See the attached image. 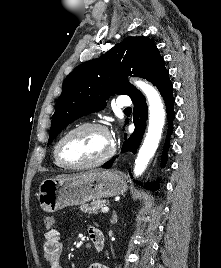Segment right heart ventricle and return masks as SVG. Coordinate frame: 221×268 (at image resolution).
Segmentation results:
<instances>
[{
	"instance_id": "obj_1",
	"label": "right heart ventricle",
	"mask_w": 221,
	"mask_h": 268,
	"mask_svg": "<svg viewBox=\"0 0 221 268\" xmlns=\"http://www.w3.org/2000/svg\"><path fill=\"white\" fill-rule=\"evenodd\" d=\"M56 161V160H55ZM56 164L58 165V166H61L57 161H56Z\"/></svg>"
}]
</instances>
